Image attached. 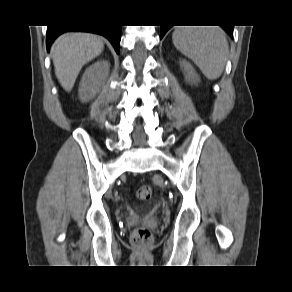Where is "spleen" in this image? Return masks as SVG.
Returning <instances> with one entry per match:
<instances>
[{
  "instance_id": "1",
  "label": "spleen",
  "mask_w": 292,
  "mask_h": 292,
  "mask_svg": "<svg viewBox=\"0 0 292 292\" xmlns=\"http://www.w3.org/2000/svg\"><path fill=\"white\" fill-rule=\"evenodd\" d=\"M177 50L192 60L209 80L218 79L227 62L229 45L219 27H176L172 34Z\"/></svg>"
}]
</instances>
